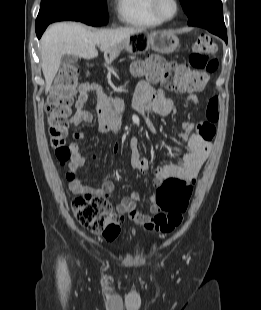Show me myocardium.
Listing matches in <instances>:
<instances>
[{
  "label": "myocardium",
  "mask_w": 261,
  "mask_h": 310,
  "mask_svg": "<svg viewBox=\"0 0 261 310\" xmlns=\"http://www.w3.org/2000/svg\"><path fill=\"white\" fill-rule=\"evenodd\" d=\"M175 6V11L171 16H164L159 10V0H151V9L154 15L162 22H168L175 19L180 11L179 0H172Z\"/></svg>",
  "instance_id": "myocardium-1"
}]
</instances>
